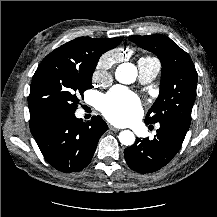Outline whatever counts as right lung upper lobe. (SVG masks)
Wrapping results in <instances>:
<instances>
[{
    "mask_svg": "<svg viewBox=\"0 0 217 217\" xmlns=\"http://www.w3.org/2000/svg\"><path fill=\"white\" fill-rule=\"evenodd\" d=\"M122 37L94 39L79 37L52 51L46 58H54L78 66H95L100 56L120 44Z\"/></svg>",
    "mask_w": 217,
    "mask_h": 217,
    "instance_id": "right-lung-upper-lobe-1",
    "label": "right lung upper lobe"
}]
</instances>
